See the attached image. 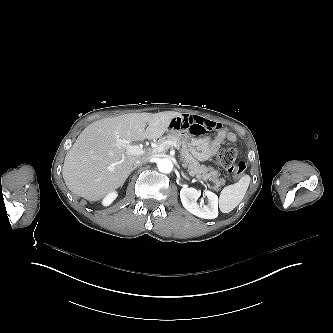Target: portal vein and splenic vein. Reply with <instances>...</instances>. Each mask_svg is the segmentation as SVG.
<instances>
[{"label": "portal vein and splenic vein", "mask_w": 333, "mask_h": 333, "mask_svg": "<svg viewBox=\"0 0 333 333\" xmlns=\"http://www.w3.org/2000/svg\"><path fill=\"white\" fill-rule=\"evenodd\" d=\"M166 144L177 147L176 143L171 141L164 142L163 144L156 146L153 148L152 153H158L164 150V146ZM116 146L124 147L126 149L127 154L130 155H143L145 151L143 150L142 145H130L127 140L117 139Z\"/></svg>", "instance_id": "1"}]
</instances>
